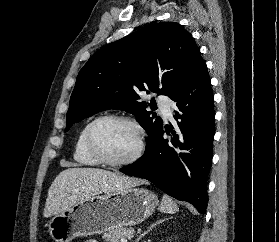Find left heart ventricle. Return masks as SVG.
<instances>
[{
  "label": "left heart ventricle",
  "instance_id": "obj_1",
  "mask_svg": "<svg viewBox=\"0 0 279 242\" xmlns=\"http://www.w3.org/2000/svg\"><path fill=\"white\" fill-rule=\"evenodd\" d=\"M95 136L100 150L112 160L129 157L137 147L135 129L123 122H104L97 128Z\"/></svg>",
  "mask_w": 279,
  "mask_h": 242
}]
</instances>
